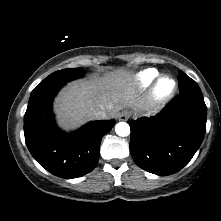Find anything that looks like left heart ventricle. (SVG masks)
I'll use <instances>...</instances> for the list:
<instances>
[{"label": "left heart ventricle", "mask_w": 221, "mask_h": 221, "mask_svg": "<svg viewBox=\"0 0 221 221\" xmlns=\"http://www.w3.org/2000/svg\"><path fill=\"white\" fill-rule=\"evenodd\" d=\"M171 82L169 80H164L160 85L161 92H166L171 88Z\"/></svg>", "instance_id": "obj_1"}]
</instances>
